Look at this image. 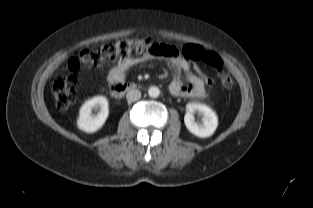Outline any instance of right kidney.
I'll list each match as a JSON object with an SVG mask.
<instances>
[{
	"mask_svg": "<svg viewBox=\"0 0 313 208\" xmlns=\"http://www.w3.org/2000/svg\"><path fill=\"white\" fill-rule=\"evenodd\" d=\"M98 110L97 115H92V111ZM108 115V100L103 96L94 97L81 106L77 126L86 133H94L102 128Z\"/></svg>",
	"mask_w": 313,
	"mask_h": 208,
	"instance_id": "1",
	"label": "right kidney"
}]
</instances>
